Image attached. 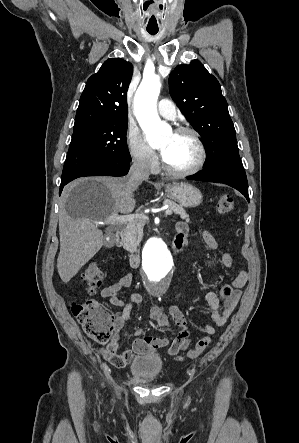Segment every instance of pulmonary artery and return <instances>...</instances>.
<instances>
[{
  "instance_id": "pulmonary-artery-1",
  "label": "pulmonary artery",
  "mask_w": 299,
  "mask_h": 443,
  "mask_svg": "<svg viewBox=\"0 0 299 443\" xmlns=\"http://www.w3.org/2000/svg\"><path fill=\"white\" fill-rule=\"evenodd\" d=\"M158 112L161 116L167 119H175L176 117V106L175 104L168 99H161L158 102Z\"/></svg>"
}]
</instances>
